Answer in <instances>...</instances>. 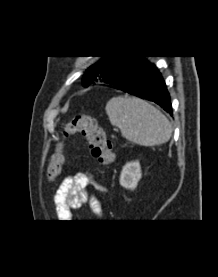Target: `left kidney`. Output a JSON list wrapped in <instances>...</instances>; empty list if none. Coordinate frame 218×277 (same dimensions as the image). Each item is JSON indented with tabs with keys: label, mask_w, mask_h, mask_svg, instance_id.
<instances>
[{
	"label": "left kidney",
	"mask_w": 218,
	"mask_h": 277,
	"mask_svg": "<svg viewBox=\"0 0 218 277\" xmlns=\"http://www.w3.org/2000/svg\"><path fill=\"white\" fill-rule=\"evenodd\" d=\"M141 178V167L139 162L126 163L121 171L120 185L126 189L134 190Z\"/></svg>",
	"instance_id": "5707ae66"
}]
</instances>
